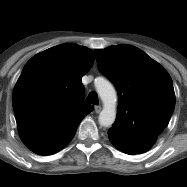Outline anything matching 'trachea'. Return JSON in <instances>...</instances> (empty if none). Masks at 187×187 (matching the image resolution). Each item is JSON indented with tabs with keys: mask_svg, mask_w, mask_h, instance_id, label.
Listing matches in <instances>:
<instances>
[{
	"mask_svg": "<svg viewBox=\"0 0 187 187\" xmlns=\"http://www.w3.org/2000/svg\"><path fill=\"white\" fill-rule=\"evenodd\" d=\"M86 103L98 105V95L96 92L92 91L86 98Z\"/></svg>",
	"mask_w": 187,
	"mask_h": 187,
	"instance_id": "trachea-1",
	"label": "trachea"
}]
</instances>
